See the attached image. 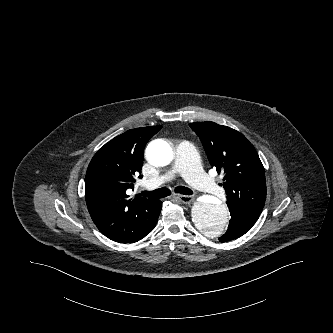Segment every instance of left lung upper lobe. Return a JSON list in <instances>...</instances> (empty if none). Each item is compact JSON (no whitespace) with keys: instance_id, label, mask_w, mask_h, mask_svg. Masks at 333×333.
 I'll list each match as a JSON object with an SVG mask.
<instances>
[{"instance_id":"obj_1","label":"left lung upper lobe","mask_w":333,"mask_h":333,"mask_svg":"<svg viewBox=\"0 0 333 333\" xmlns=\"http://www.w3.org/2000/svg\"><path fill=\"white\" fill-rule=\"evenodd\" d=\"M190 127L201 139L211 166L225 174L228 207L259 216L266 200V180L254 146L240 132L214 122H195Z\"/></svg>"}]
</instances>
